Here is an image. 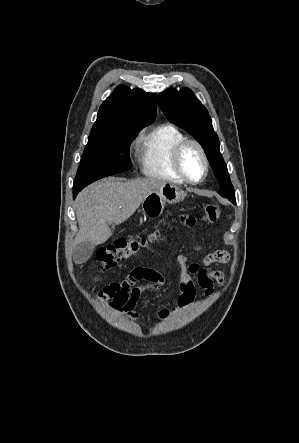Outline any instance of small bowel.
<instances>
[{"mask_svg": "<svg viewBox=\"0 0 299 443\" xmlns=\"http://www.w3.org/2000/svg\"><path fill=\"white\" fill-rule=\"evenodd\" d=\"M182 222L192 227L194 219L184 217ZM194 251L203 250L202 246L195 245ZM229 253L224 250H213L206 254L201 263H190L186 256L179 255L176 259L180 268L179 290L177 305L171 309H162L157 313L159 318H166L171 314L178 313L186 308L195 297L196 284L204 290L206 296L214 294V283L218 285L224 281V273L219 270H211L212 264H225L229 261ZM164 276L156 270L149 268H136L125 279L107 285L98 293L101 301H109L114 311H124L132 319L139 318L136 311L138 302L146 291H157L164 284ZM143 282V284H139Z\"/></svg>", "mask_w": 299, "mask_h": 443, "instance_id": "small-bowel-1", "label": "small bowel"}]
</instances>
